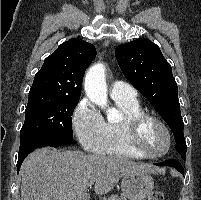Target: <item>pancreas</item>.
Wrapping results in <instances>:
<instances>
[{
    "instance_id": "cf45deb5",
    "label": "pancreas",
    "mask_w": 201,
    "mask_h": 200,
    "mask_svg": "<svg viewBox=\"0 0 201 200\" xmlns=\"http://www.w3.org/2000/svg\"><path fill=\"white\" fill-rule=\"evenodd\" d=\"M104 200H125L123 197H119L118 195H111L108 198H104Z\"/></svg>"
}]
</instances>
